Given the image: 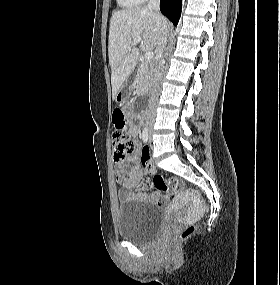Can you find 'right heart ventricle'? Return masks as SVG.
I'll return each mask as SVG.
<instances>
[{"instance_id":"right-heart-ventricle-1","label":"right heart ventricle","mask_w":280,"mask_h":285,"mask_svg":"<svg viewBox=\"0 0 280 285\" xmlns=\"http://www.w3.org/2000/svg\"><path fill=\"white\" fill-rule=\"evenodd\" d=\"M143 0H118L120 6L124 8H133L141 4Z\"/></svg>"}]
</instances>
